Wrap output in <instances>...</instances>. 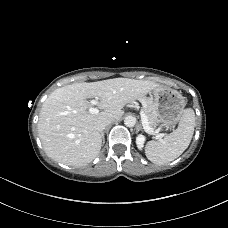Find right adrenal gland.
Segmentation results:
<instances>
[{
    "label": "right adrenal gland",
    "mask_w": 228,
    "mask_h": 228,
    "mask_svg": "<svg viewBox=\"0 0 228 228\" xmlns=\"http://www.w3.org/2000/svg\"><path fill=\"white\" fill-rule=\"evenodd\" d=\"M101 137H102V141H103V144H104L105 143L104 132L101 133Z\"/></svg>",
    "instance_id": "obj_1"
}]
</instances>
